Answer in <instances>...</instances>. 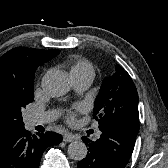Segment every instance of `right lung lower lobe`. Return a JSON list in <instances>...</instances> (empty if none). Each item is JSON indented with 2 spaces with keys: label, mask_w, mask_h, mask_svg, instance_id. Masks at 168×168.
<instances>
[{
  "label": "right lung lower lobe",
  "mask_w": 168,
  "mask_h": 168,
  "mask_svg": "<svg viewBox=\"0 0 168 168\" xmlns=\"http://www.w3.org/2000/svg\"><path fill=\"white\" fill-rule=\"evenodd\" d=\"M61 141L55 132L31 136L24 127L14 130L0 142V168H39L44 150Z\"/></svg>",
  "instance_id": "1"
}]
</instances>
